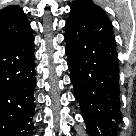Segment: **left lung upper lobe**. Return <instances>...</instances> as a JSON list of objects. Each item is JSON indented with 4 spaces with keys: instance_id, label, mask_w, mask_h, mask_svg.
Wrapping results in <instances>:
<instances>
[{
    "instance_id": "obj_1",
    "label": "left lung upper lobe",
    "mask_w": 136,
    "mask_h": 136,
    "mask_svg": "<svg viewBox=\"0 0 136 136\" xmlns=\"http://www.w3.org/2000/svg\"><path fill=\"white\" fill-rule=\"evenodd\" d=\"M86 12H98L104 14L101 8L91 0H76L71 5V16L82 15Z\"/></svg>"
}]
</instances>
